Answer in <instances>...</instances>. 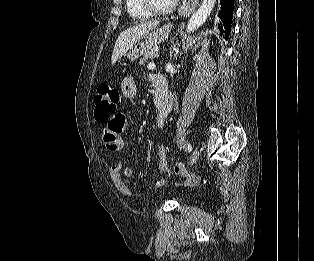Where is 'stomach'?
<instances>
[{"mask_svg":"<svg viewBox=\"0 0 314 261\" xmlns=\"http://www.w3.org/2000/svg\"><path fill=\"white\" fill-rule=\"evenodd\" d=\"M169 34V26H163L160 29H154L144 36L142 41L136 43L127 53V58L130 62H134L136 59L144 55L156 47L159 43Z\"/></svg>","mask_w":314,"mask_h":261,"instance_id":"stomach-1","label":"stomach"}]
</instances>
